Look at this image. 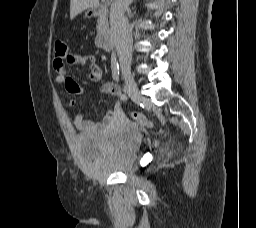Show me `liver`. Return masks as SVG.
I'll use <instances>...</instances> for the list:
<instances>
[{"mask_svg": "<svg viewBox=\"0 0 256 228\" xmlns=\"http://www.w3.org/2000/svg\"><path fill=\"white\" fill-rule=\"evenodd\" d=\"M99 0H70V18L74 19L82 11L97 7Z\"/></svg>", "mask_w": 256, "mask_h": 228, "instance_id": "obj_1", "label": "liver"}]
</instances>
